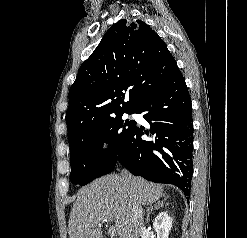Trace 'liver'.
I'll return each mask as SVG.
<instances>
[{
	"mask_svg": "<svg viewBox=\"0 0 247 238\" xmlns=\"http://www.w3.org/2000/svg\"><path fill=\"white\" fill-rule=\"evenodd\" d=\"M161 185L131 176L130 182L116 174H109L82 187L70 213L69 238H102V219L114 218L119 238H131L132 199L151 206L164 196Z\"/></svg>",
	"mask_w": 247,
	"mask_h": 238,
	"instance_id": "liver-1",
	"label": "liver"
}]
</instances>
